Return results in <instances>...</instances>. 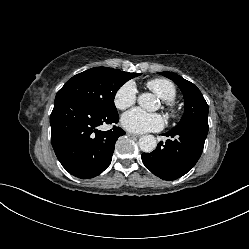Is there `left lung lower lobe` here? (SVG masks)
Returning a JSON list of instances; mask_svg holds the SVG:
<instances>
[{
	"mask_svg": "<svg viewBox=\"0 0 249 249\" xmlns=\"http://www.w3.org/2000/svg\"><path fill=\"white\" fill-rule=\"evenodd\" d=\"M208 121L196 120L162 134L170 137L151 153H143L146 168L164 180H175L191 170L199 160L208 133Z\"/></svg>",
	"mask_w": 249,
	"mask_h": 249,
	"instance_id": "obj_1",
	"label": "left lung lower lobe"
}]
</instances>
